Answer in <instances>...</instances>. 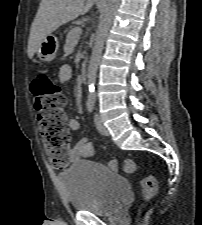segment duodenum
<instances>
[{
	"label": "duodenum",
	"mask_w": 202,
	"mask_h": 225,
	"mask_svg": "<svg viewBox=\"0 0 202 225\" xmlns=\"http://www.w3.org/2000/svg\"><path fill=\"white\" fill-rule=\"evenodd\" d=\"M89 70V61L84 60L81 64L80 76L83 82L87 80Z\"/></svg>",
	"instance_id": "1"
}]
</instances>
